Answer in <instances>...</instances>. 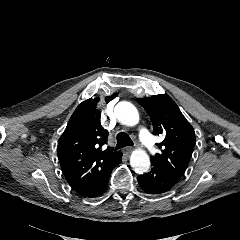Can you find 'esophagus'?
<instances>
[{"label":"esophagus","mask_w":240,"mask_h":240,"mask_svg":"<svg viewBox=\"0 0 240 240\" xmlns=\"http://www.w3.org/2000/svg\"><path fill=\"white\" fill-rule=\"evenodd\" d=\"M133 148L131 146H127L123 149V151L129 155L132 152Z\"/></svg>","instance_id":"34e87169"}]
</instances>
